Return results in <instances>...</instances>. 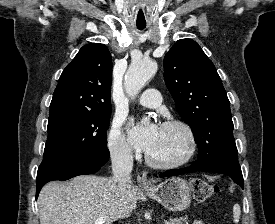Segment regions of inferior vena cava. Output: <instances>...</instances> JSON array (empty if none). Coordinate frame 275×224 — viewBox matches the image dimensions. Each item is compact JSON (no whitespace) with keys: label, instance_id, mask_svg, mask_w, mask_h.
Wrapping results in <instances>:
<instances>
[{"label":"inferior vena cava","instance_id":"602c4592","mask_svg":"<svg viewBox=\"0 0 275 224\" xmlns=\"http://www.w3.org/2000/svg\"><path fill=\"white\" fill-rule=\"evenodd\" d=\"M113 180L124 199L127 188L131 185L130 173L133 168V156L130 149L119 147L111 151Z\"/></svg>","mask_w":275,"mask_h":224}]
</instances>
